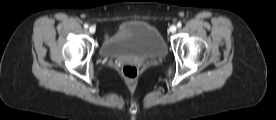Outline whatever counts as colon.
Segmentation results:
<instances>
[{
	"mask_svg": "<svg viewBox=\"0 0 276 120\" xmlns=\"http://www.w3.org/2000/svg\"><path fill=\"white\" fill-rule=\"evenodd\" d=\"M138 66L133 61H126L122 65V74L129 85H134L138 77Z\"/></svg>",
	"mask_w": 276,
	"mask_h": 120,
	"instance_id": "5ec220e1",
	"label": "colon"
}]
</instances>
